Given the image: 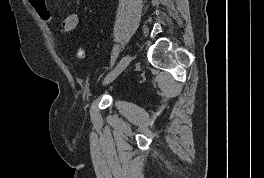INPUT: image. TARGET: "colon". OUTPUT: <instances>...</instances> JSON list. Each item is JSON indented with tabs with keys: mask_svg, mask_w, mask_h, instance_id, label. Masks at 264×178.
Masks as SVG:
<instances>
[{
	"mask_svg": "<svg viewBox=\"0 0 264 178\" xmlns=\"http://www.w3.org/2000/svg\"><path fill=\"white\" fill-rule=\"evenodd\" d=\"M30 6L34 9L37 15L44 21L50 24H54V16L49 9L46 0H28ZM76 57L78 59H84L86 57V50L83 47H79L76 50Z\"/></svg>",
	"mask_w": 264,
	"mask_h": 178,
	"instance_id": "5ec220e1",
	"label": "colon"
}]
</instances>
